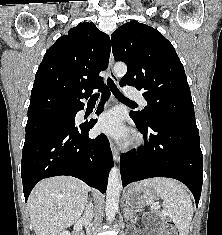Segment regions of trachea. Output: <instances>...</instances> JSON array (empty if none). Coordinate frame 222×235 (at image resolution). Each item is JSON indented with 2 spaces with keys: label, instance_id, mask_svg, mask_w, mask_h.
<instances>
[{
  "label": "trachea",
  "instance_id": "3493384b",
  "mask_svg": "<svg viewBox=\"0 0 222 235\" xmlns=\"http://www.w3.org/2000/svg\"><path fill=\"white\" fill-rule=\"evenodd\" d=\"M108 82V86L110 87L112 93L120 100L127 102V103H132V104H136L135 102L129 100L128 98H126L120 91L119 89L116 87V85L114 84L113 80L111 78L107 79ZM98 93H95L93 96H98Z\"/></svg>",
  "mask_w": 222,
  "mask_h": 235
}]
</instances>
